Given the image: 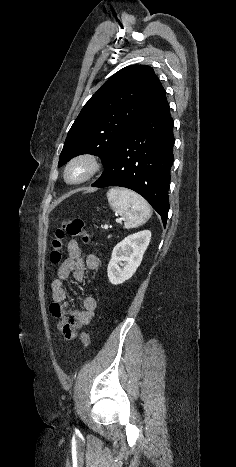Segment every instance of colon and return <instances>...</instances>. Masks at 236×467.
<instances>
[{"label":"colon","mask_w":236,"mask_h":467,"mask_svg":"<svg viewBox=\"0 0 236 467\" xmlns=\"http://www.w3.org/2000/svg\"><path fill=\"white\" fill-rule=\"evenodd\" d=\"M79 237L83 243L90 242V233L85 229L84 222L80 218L64 220L54 231V236L51 241L50 259L53 264H58L63 259V245L66 237ZM81 342L85 347L90 344V337L86 331L80 335Z\"/></svg>","instance_id":"5ec220e1"}]
</instances>
